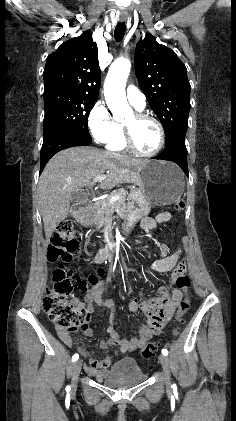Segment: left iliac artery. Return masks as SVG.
<instances>
[{"label": "left iliac artery", "instance_id": "1", "mask_svg": "<svg viewBox=\"0 0 236 421\" xmlns=\"http://www.w3.org/2000/svg\"><path fill=\"white\" fill-rule=\"evenodd\" d=\"M162 354H163L164 356H167V355H168V350H167V349H162Z\"/></svg>", "mask_w": 236, "mask_h": 421}]
</instances>
